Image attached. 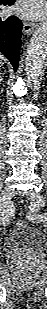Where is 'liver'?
<instances>
[{
    "label": "liver",
    "instance_id": "6515ba94",
    "mask_svg": "<svg viewBox=\"0 0 47 309\" xmlns=\"http://www.w3.org/2000/svg\"><path fill=\"white\" fill-rule=\"evenodd\" d=\"M4 62H5V59H4V57L1 55V56H0V65H3Z\"/></svg>",
    "mask_w": 47,
    "mask_h": 309
}]
</instances>
